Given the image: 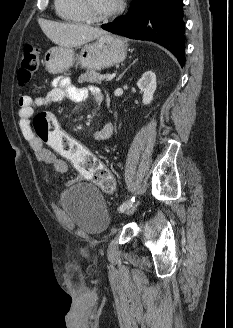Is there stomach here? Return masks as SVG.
I'll use <instances>...</instances> for the list:
<instances>
[{"mask_svg": "<svg viewBox=\"0 0 233 328\" xmlns=\"http://www.w3.org/2000/svg\"><path fill=\"white\" fill-rule=\"evenodd\" d=\"M126 41L105 33L95 42L86 43L78 53L71 47H52L44 57L49 73L56 74L69 69L77 61L81 67L100 70L121 63L126 58Z\"/></svg>", "mask_w": 233, "mask_h": 328, "instance_id": "obj_1", "label": "stomach"}]
</instances>
